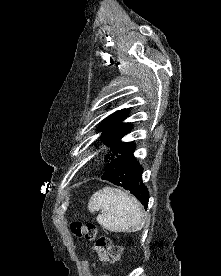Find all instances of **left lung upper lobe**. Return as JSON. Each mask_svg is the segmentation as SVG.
Here are the masks:
<instances>
[{"instance_id":"1","label":"left lung upper lobe","mask_w":221,"mask_h":276,"mask_svg":"<svg viewBox=\"0 0 221 276\" xmlns=\"http://www.w3.org/2000/svg\"><path fill=\"white\" fill-rule=\"evenodd\" d=\"M127 116H129L128 109L119 110L109 115L99 125V130L103 131L100 138L105 145L110 147L109 153L105 155L107 161L120 151L128 150L135 145L131 142L120 141L124 135L131 131L130 123L122 122Z\"/></svg>"}]
</instances>
